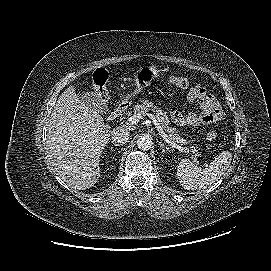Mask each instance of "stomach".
<instances>
[{
    "label": "stomach",
    "mask_w": 271,
    "mask_h": 271,
    "mask_svg": "<svg viewBox=\"0 0 271 271\" xmlns=\"http://www.w3.org/2000/svg\"><path fill=\"white\" fill-rule=\"evenodd\" d=\"M159 74L160 70L154 65L140 67L134 73L135 88L133 91L125 95L124 101L128 102V100L137 96L145 87L149 86L151 82L159 76Z\"/></svg>",
    "instance_id": "stomach-1"
}]
</instances>
